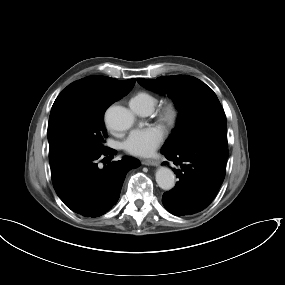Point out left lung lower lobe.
Here are the masks:
<instances>
[{
    "instance_id": "0a47b994",
    "label": "left lung lower lobe",
    "mask_w": 285,
    "mask_h": 285,
    "mask_svg": "<svg viewBox=\"0 0 285 285\" xmlns=\"http://www.w3.org/2000/svg\"><path fill=\"white\" fill-rule=\"evenodd\" d=\"M161 153L180 166L173 169L179 181L163 194L164 207L176 216L192 215L206 208L224 180L227 148L207 144L175 152L161 150Z\"/></svg>"
}]
</instances>
